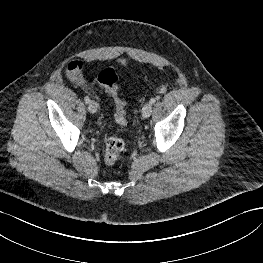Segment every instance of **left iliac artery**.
Returning a JSON list of instances; mask_svg holds the SVG:
<instances>
[{"mask_svg":"<svg viewBox=\"0 0 263 263\" xmlns=\"http://www.w3.org/2000/svg\"><path fill=\"white\" fill-rule=\"evenodd\" d=\"M155 102H156V99H155V98H151V99H150V103H151V104H154Z\"/></svg>","mask_w":263,"mask_h":263,"instance_id":"obj_1","label":"left iliac artery"}]
</instances>
